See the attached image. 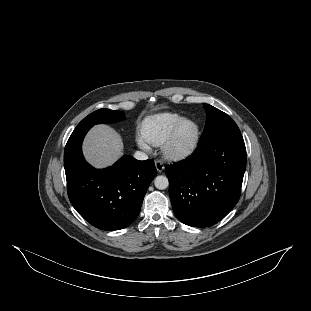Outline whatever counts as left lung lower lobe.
<instances>
[{
	"label": "left lung lower lobe",
	"mask_w": 311,
	"mask_h": 311,
	"mask_svg": "<svg viewBox=\"0 0 311 311\" xmlns=\"http://www.w3.org/2000/svg\"><path fill=\"white\" fill-rule=\"evenodd\" d=\"M245 169L241 132H226L198 143L192 155L165 169L177 218L193 227L220 221L239 200Z\"/></svg>",
	"instance_id": "0a47b994"
}]
</instances>
